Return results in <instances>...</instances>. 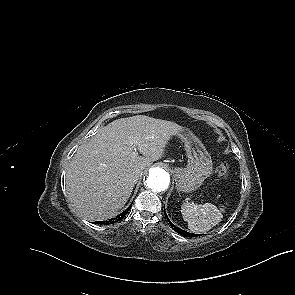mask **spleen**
Returning a JSON list of instances; mask_svg holds the SVG:
<instances>
[{"mask_svg":"<svg viewBox=\"0 0 295 295\" xmlns=\"http://www.w3.org/2000/svg\"><path fill=\"white\" fill-rule=\"evenodd\" d=\"M222 207L218 209L211 203L184 202L181 206V214L184 221L188 223L190 231L195 233L205 232L222 220L225 206Z\"/></svg>","mask_w":295,"mask_h":295,"instance_id":"1","label":"spleen"}]
</instances>
